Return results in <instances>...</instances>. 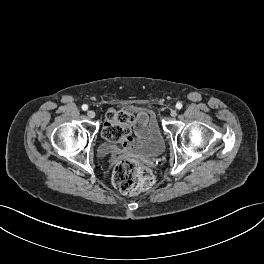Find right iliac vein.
<instances>
[{"label": "right iliac vein", "mask_w": 264, "mask_h": 264, "mask_svg": "<svg viewBox=\"0 0 264 264\" xmlns=\"http://www.w3.org/2000/svg\"><path fill=\"white\" fill-rule=\"evenodd\" d=\"M87 116L92 119V118L95 117V112L93 110H88L87 111Z\"/></svg>", "instance_id": "1"}]
</instances>
